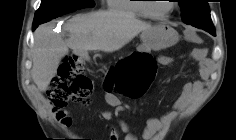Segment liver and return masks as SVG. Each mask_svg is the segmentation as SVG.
I'll return each instance as SVG.
<instances>
[{"mask_svg":"<svg viewBox=\"0 0 236 140\" xmlns=\"http://www.w3.org/2000/svg\"><path fill=\"white\" fill-rule=\"evenodd\" d=\"M151 28L132 14L114 11L76 15L64 27L69 33L66 40L53 32V25H40L34 32L32 79L45 92L69 48L81 56L96 50L114 52Z\"/></svg>","mask_w":236,"mask_h":140,"instance_id":"liver-1","label":"liver"}]
</instances>
